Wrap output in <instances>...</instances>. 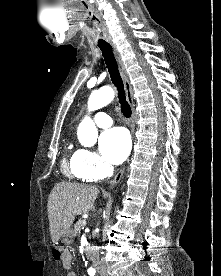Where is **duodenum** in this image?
<instances>
[{"mask_svg": "<svg viewBox=\"0 0 221 276\" xmlns=\"http://www.w3.org/2000/svg\"><path fill=\"white\" fill-rule=\"evenodd\" d=\"M87 254H89V250H87Z\"/></svg>", "mask_w": 221, "mask_h": 276, "instance_id": "1", "label": "duodenum"}]
</instances>
